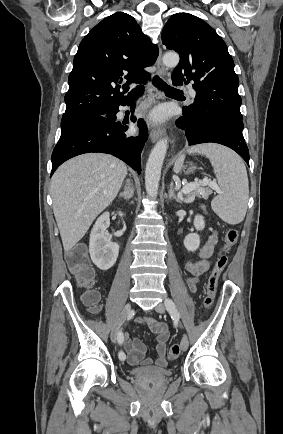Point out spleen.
<instances>
[{
    "label": "spleen",
    "mask_w": 283,
    "mask_h": 434,
    "mask_svg": "<svg viewBox=\"0 0 283 434\" xmlns=\"http://www.w3.org/2000/svg\"><path fill=\"white\" fill-rule=\"evenodd\" d=\"M188 152L205 155L214 168L221 192L211 202L213 211L228 224L242 222L249 198L248 176L242 159L232 150L212 143L194 146ZM184 159L185 155H181L176 160V173L181 170Z\"/></svg>",
    "instance_id": "obj_1"
}]
</instances>
